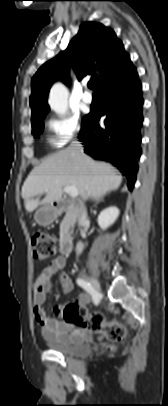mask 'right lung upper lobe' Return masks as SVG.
<instances>
[{"label":"right lung upper lobe","instance_id":"cb5924a9","mask_svg":"<svg viewBox=\"0 0 168 406\" xmlns=\"http://www.w3.org/2000/svg\"><path fill=\"white\" fill-rule=\"evenodd\" d=\"M70 66L79 80L91 75L90 81L99 89L133 65L112 29L101 23H82L68 48L44 63L32 78V124L42 120L48 113L47 96L53 82L60 79L69 83Z\"/></svg>","mask_w":168,"mask_h":406}]
</instances>
